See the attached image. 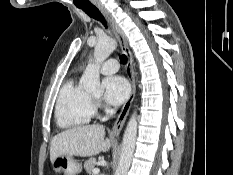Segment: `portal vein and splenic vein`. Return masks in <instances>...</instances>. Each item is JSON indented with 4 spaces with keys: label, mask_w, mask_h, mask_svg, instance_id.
I'll use <instances>...</instances> for the list:
<instances>
[{
    "label": "portal vein and splenic vein",
    "mask_w": 233,
    "mask_h": 175,
    "mask_svg": "<svg viewBox=\"0 0 233 175\" xmlns=\"http://www.w3.org/2000/svg\"><path fill=\"white\" fill-rule=\"evenodd\" d=\"M99 172H100V170H99L98 168H95V169L93 170V174H94V175H98Z\"/></svg>",
    "instance_id": "obj_1"
}]
</instances>
